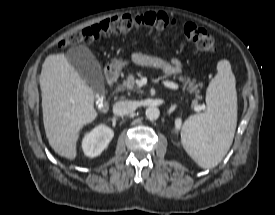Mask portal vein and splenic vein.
Instances as JSON below:
<instances>
[{
    "mask_svg": "<svg viewBox=\"0 0 275 215\" xmlns=\"http://www.w3.org/2000/svg\"><path fill=\"white\" fill-rule=\"evenodd\" d=\"M163 85L167 88L173 89V90H177L179 88L178 84L172 82V81H163ZM194 110L197 112H200L201 110H204L203 106L200 105H196L194 107Z\"/></svg>",
    "mask_w": 275,
    "mask_h": 215,
    "instance_id": "portal-vein-and-splenic-vein-1",
    "label": "portal vein and splenic vein"
}]
</instances>
